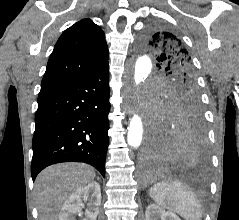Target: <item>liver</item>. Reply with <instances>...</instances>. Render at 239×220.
Returning a JSON list of instances; mask_svg holds the SVG:
<instances>
[{"label":"liver","mask_w":239,"mask_h":220,"mask_svg":"<svg viewBox=\"0 0 239 220\" xmlns=\"http://www.w3.org/2000/svg\"><path fill=\"white\" fill-rule=\"evenodd\" d=\"M94 178V169L81 163H61L44 169L35 181L40 220H57L69 196Z\"/></svg>","instance_id":"1"}]
</instances>
